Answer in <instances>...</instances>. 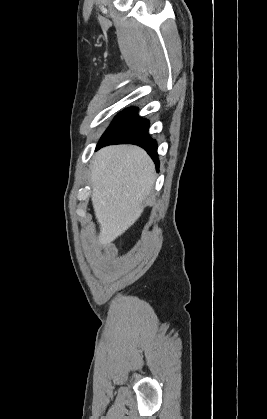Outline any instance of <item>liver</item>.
<instances>
[{
  "instance_id": "liver-1",
  "label": "liver",
  "mask_w": 267,
  "mask_h": 419,
  "mask_svg": "<svg viewBox=\"0 0 267 419\" xmlns=\"http://www.w3.org/2000/svg\"><path fill=\"white\" fill-rule=\"evenodd\" d=\"M154 182V163L140 147L108 146L95 154L90 185L101 244L113 242L138 220Z\"/></svg>"
}]
</instances>
